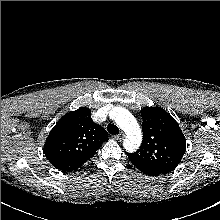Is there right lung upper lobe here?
Wrapping results in <instances>:
<instances>
[{"instance_id":"right-lung-upper-lobe-1","label":"right lung upper lobe","mask_w":220,"mask_h":220,"mask_svg":"<svg viewBox=\"0 0 220 220\" xmlns=\"http://www.w3.org/2000/svg\"><path fill=\"white\" fill-rule=\"evenodd\" d=\"M108 140L107 132L91 119L83 107L65 114L53 127L44 144V154L58 170H77Z\"/></svg>"}]
</instances>
